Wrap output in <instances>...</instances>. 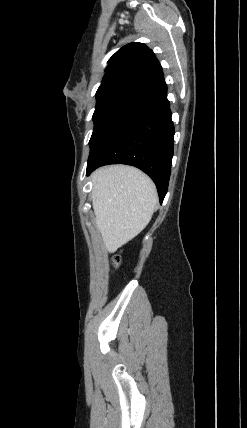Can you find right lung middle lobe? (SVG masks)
Instances as JSON below:
<instances>
[{"mask_svg": "<svg viewBox=\"0 0 247 428\" xmlns=\"http://www.w3.org/2000/svg\"><path fill=\"white\" fill-rule=\"evenodd\" d=\"M140 93L116 89L96 94V107L93 114L94 130L89 142L90 147L110 121Z\"/></svg>", "mask_w": 247, "mask_h": 428, "instance_id": "right-lung-middle-lobe-1", "label": "right lung middle lobe"}]
</instances>
